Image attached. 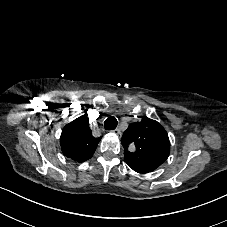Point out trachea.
Here are the masks:
<instances>
[{"instance_id":"obj_1","label":"trachea","mask_w":227,"mask_h":227,"mask_svg":"<svg viewBox=\"0 0 227 227\" xmlns=\"http://www.w3.org/2000/svg\"><path fill=\"white\" fill-rule=\"evenodd\" d=\"M117 124H118L117 119L114 116H110L105 120L104 127L107 131H111L116 129Z\"/></svg>"}]
</instances>
